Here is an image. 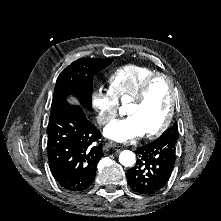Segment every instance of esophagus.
I'll return each instance as SVG.
<instances>
[{
  "mask_svg": "<svg viewBox=\"0 0 221 221\" xmlns=\"http://www.w3.org/2000/svg\"><path fill=\"white\" fill-rule=\"evenodd\" d=\"M118 148L120 147L119 145H117L116 143L112 142V141H108L103 145L104 149H109V148Z\"/></svg>",
  "mask_w": 221,
  "mask_h": 221,
  "instance_id": "obj_1",
  "label": "esophagus"
}]
</instances>
